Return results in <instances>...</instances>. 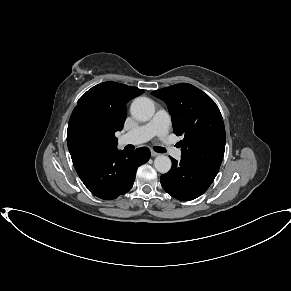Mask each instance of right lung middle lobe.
I'll list each match as a JSON object with an SVG mask.
<instances>
[{
	"instance_id": "obj_1",
	"label": "right lung middle lobe",
	"mask_w": 291,
	"mask_h": 291,
	"mask_svg": "<svg viewBox=\"0 0 291 291\" xmlns=\"http://www.w3.org/2000/svg\"><path fill=\"white\" fill-rule=\"evenodd\" d=\"M94 132L85 124H77L67 130V141H82L94 143Z\"/></svg>"
}]
</instances>
